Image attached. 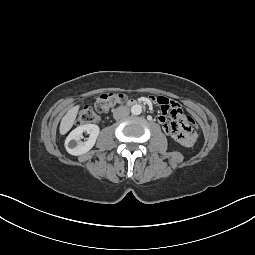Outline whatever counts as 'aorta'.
I'll return each mask as SVG.
<instances>
[{
	"label": "aorta",
	"instance_id": "762f6f07",
	"mask_svg": "<svg viewBox=\"0 0 255 255\" xmlns=\"http://www.w3.org/2000/svg\"><path fill=\"white\" fill-rule=\"evenodd\" d=\"M142 112V107L138 104H135L131 107V113L133 115H139Z\"/></svg>",
	"mask_w": 255,
	"mask_h": 255
}]
</instances>
